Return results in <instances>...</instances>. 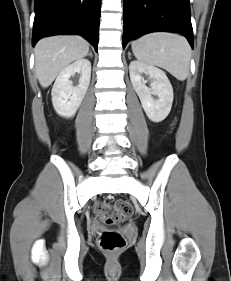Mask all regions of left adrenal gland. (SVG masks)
<instances>
[{
    "label": "left adrenal gland",
    "mask_w": 231,
    "mask_h": 281,
    "mask_svg": "<svg viewBox=\"0 0 231 281\" xmlns=\"http://www.w3.org/2000/svg\"><path fill=\"white\" fill-rule=\"evenodd\" d=\"M130 55H131V54H130V52H129V53H128L129 58H130Z\"/></svg>",
    "instance_id": "1"
}]
</instances>
